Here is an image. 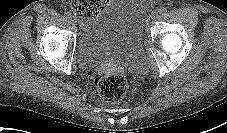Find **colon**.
I'll return each instance as SVG.
<instances>
[{
	"mask_svg": "<svg viewBox=\"0 0 227 133\" xmlns=\"http://www.w3.org/2000/svg\"><path fill=\"white\" fill-rule=\"evenodd\" d=\"M108 0H72L71 8L83 22L94 18L107 4ZM99 96L111 103L124 99L129 91L128 81L118 73H102L94 79Z\"/></svg>",
	"mask_w": 227,
	"mask_h": 133,
	"instance_id": "colon-1",
	"label": "colon"
}]
</instances>
